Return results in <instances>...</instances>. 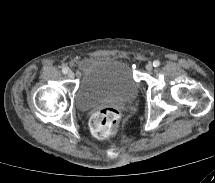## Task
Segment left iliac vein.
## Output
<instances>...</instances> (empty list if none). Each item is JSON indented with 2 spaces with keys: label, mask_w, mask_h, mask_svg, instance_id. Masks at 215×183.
<instances>
[{
  "label": "left iliac vein",
  "mask_w": 215,
  "mask_h": 183,
  "mask_svg": "<svg viewBox=\"0 0 215 183\" xmlns=\"http://www.w3.org/2000/svg\"><path fill=\"white\" fill-rule=\"evenodd\" d=\"M153 69V65L151 64V63H148L147 65H146V70L147 71H151Z\"/></svg>",
  "instance_id": "left-iliac-vein-1"
}]
</instances>
